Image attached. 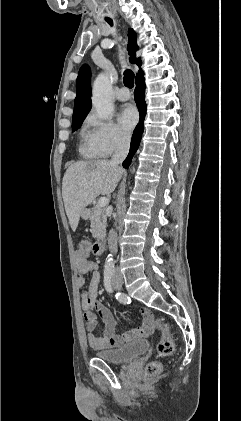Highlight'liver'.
<instances>
[{"label":"liver","mask_w":241,"mask_h":421,"mask_svg":"<svg viewBox=\"0 0 241 421\" xmlns=\"http://www.w3.org/2000/svg\"><path fill=\"white\" fill-rule=\"evenodd\" d=\"M124 170L107 160L80 161L71 164L62 182V197L71 229L75 232L81 212L97 196L110 195Z\"/></svg>","instance_id":"liver-1"}]
</instances>
